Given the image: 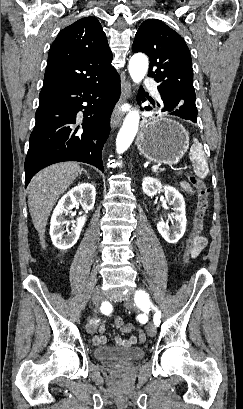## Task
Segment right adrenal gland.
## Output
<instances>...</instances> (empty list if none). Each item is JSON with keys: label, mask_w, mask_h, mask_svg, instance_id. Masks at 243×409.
<instances>
[{"label": "right adrenal gland", "mask_w": 243, "mask_h": 409, "mask_svg": "<svg viewBox=\"0 0 243 409\" xmlns=\"http://www.w3.org/2000/svg\"><path fill=\"white\" fill-rule=\"evenodd\" d=\"M84 172L88 175V173L84 170ZM89 176V175H88Z\"/></svg>", "instance_id": "right-adrenal-gland-1"}]
</instances>
